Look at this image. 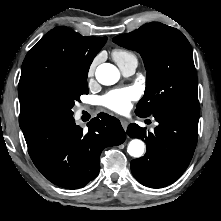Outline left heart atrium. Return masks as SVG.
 Returning a JSON list of instances; mask_svg holds the SVG:
<instances>
[{
  "label": "left heart atrium",
  "mask_w": 221,
  "mask_h": 221,
  "mask_svg": "<svg viewBox=\"0 0 221 221\" xmlns=\"http://www.w3.org/2000/svg\"><path fill=\"white\" fill-rule=\"evenodd\" d=\"M138 98V92L133 87L112 90L102 98V104L118 113L127 111L132 101Z\"/></svg>",
  "instance_id": "39dd6f15"
}]
</instances>
